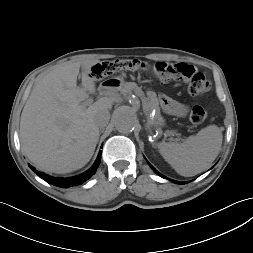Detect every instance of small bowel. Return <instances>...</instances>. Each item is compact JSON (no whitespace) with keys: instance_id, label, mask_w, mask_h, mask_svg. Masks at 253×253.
<instances>
[{"instance_id":"obj_1","label":"small bowel","mask_w":253,"mask_h":253,"mask_svg":"<svg viewBox=\"0 0 253 253\" xmlns=\"http://www.w3.org/2000/svg\"><path fill=\"white\" fill-rule=\"evenodd\" d=\"M160 101L163 107L173 115L184 116L188 111V107L186 105L172 102L164 95L160 96Z\"/></svg>"}]
</instances>
